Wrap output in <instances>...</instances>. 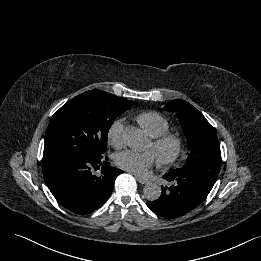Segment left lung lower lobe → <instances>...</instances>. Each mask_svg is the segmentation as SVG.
Masks as SVG:
<instances>
[{"mask_svg": "<svg viewBox=\"0 0 261 261\" xmlns=\"http://www.w3.org/2000/svg\"><path fill=\"white\" fill-rule=\"evenodd\" d=\"M218 174L203 167H183L163 175L168 186H162V195L147 206L159 216L167 219L180 217L201 204L212 187Z\"/></svg>", "mask_w": 261, "mask_h": 261, "instance_id": "0a47b994", "label": "left lung lower lobe"}]
</instances>
